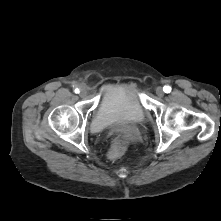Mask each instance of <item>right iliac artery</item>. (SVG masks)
Segmentation results:
<instances>
[{"label":"right iliac artery","mask_w":221,"mask_h":221,"mask_svg":"<svg viewBox=\"0 0 221 221\" xmlns=\"http://www.w3.org/2000/svg\"><path fill=\"white\" fill-rule=\"evenodd\" d=\"M74 91H75V93H79V89L78 88H76Z\"/></svg>","instance_id":"1"}]
</instances>
